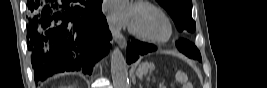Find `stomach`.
Returning a JSON list of instances; mask_svg holds the SVG:
<instances>
[{"label": "stomach", "mask_w": 267, "mask_h": 88, "mask_svg": "<svg viewBox=\"0 0 267 88\" xmlns=\"http://www.w3.org/2000/svg\"><path fill=\"white\" fill-rule=\"evenodd\" d=\"M143 65H144L143 73H147L148 71H152L155 67L153 63H143Z\"/></svg>", "instance_id": "stomach-1"}]
</instances>
